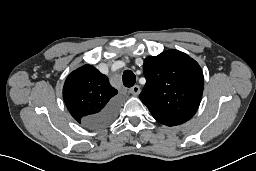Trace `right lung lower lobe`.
I'll return each mask as SVG.
<instances>
[{"label": "right lung lower lobe", "instance_id": "1", "mask_svg": "<svg viewBox=\"0 0 256 171\" xmlns=\"http://www.w3.org/2000/svg\"><path fill=\"white\" fill-rule=\"evenodd\" d=\"M117 109V102L113 101L103 111L88 118L87 125L89 127H103L110 124L116 117Z\"/></svg>", "mask_w": 256, "mask_h": 171}]
</instances>
